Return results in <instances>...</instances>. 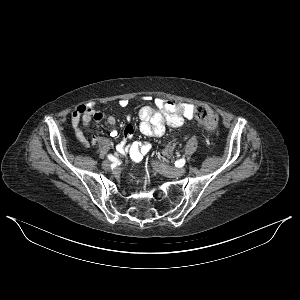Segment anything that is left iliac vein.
<instances>
[{"label": "left iliac vein", "mask_w": 300, "mask_h": 300, "mask_svg": "<svg viewBox=\"0 0 300 300\" xmlns=\"http://www.w3.org/2000/svg\"><path fill=\"white\" fill-rule=\"evenodd\" d=\"M152 166L169 178L181 177L185 174V168H173L157 161H152Z\"/></svg>", "instance_id": "obj_1"}]
</instances>
